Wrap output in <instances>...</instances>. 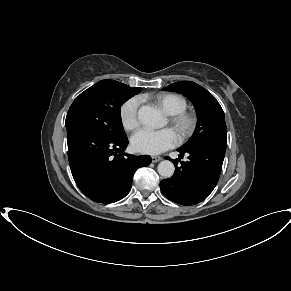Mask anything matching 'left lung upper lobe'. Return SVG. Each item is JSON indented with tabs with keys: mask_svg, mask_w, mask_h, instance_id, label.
I'll list each match as a JSON object with an SVG mask.
<instances>
[{
	"mask_svg": "<svg viewBox=\"0 0 291 291\" xmlns=\"http://www.w3.org/2000/svg\"><path fill=\"white\" fill-rule=\"evenodd\" d=\"M164 90L182 93L195 106L198 122L193 136L181 148L200 144L227 145L224 112L216 98L192 81L176 82Z\"/></svg>",
	"mask_w": 291,
	"mask_h": 291,
	"instance_id": "5c2ea615",
	"label": "left lung upper lobe"
}]
</instances>
